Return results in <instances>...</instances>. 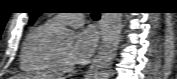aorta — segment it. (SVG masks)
I'll return each instance as SVG.
<instances>
[{"label": "aorta", "mask_w": 177, "mask_h": 79, "mask_svg": "<svg viewBox=\"0 0 177 79\" xmlns=\"http://www.w3.org/2000/svg\"><path fill=\"white\" fill-rule=\"evenodd\" d=\"M104 38L102 50L98 56L93 79H109L112 64L120 43L122 31V13H104ZM58 41L71 42L74 32L63 28L57 34Z\"/></svg>", "instance_id": "1"}]
</instances>
